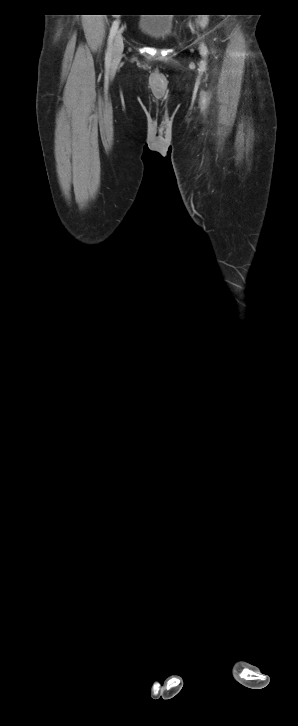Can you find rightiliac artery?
<instances>
[{"label": "right iliac artery", "instance_id": "right-iliac-artery-1", "mask_svg": "<svg viewBox=\"0 0 298 726\" xmlns=\"http://www.w3.org/2000/svg\"><path fill=\"white\" fill-rule=\"evenodd\" d=\"M118 27H119V21L116 20L112 24V27H111L110 33H109L108 47H107V51H106V55H105V62H106L107 65H109L110 62H111L112 43H113L114 37L116 35V32L118 30Z\"/></svg>", "mask_w": 298, "mask_h": 726}]
</instances>
